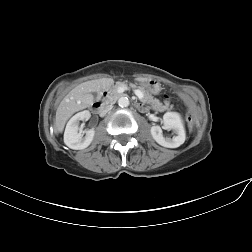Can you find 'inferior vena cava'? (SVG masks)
Returning a JSON list of instances; mask_svg holds the SVG:
<instances>
[{
  "mask_svg": "<svg viewBox=\"0 0 252 252\" xmlns=\"http://www.w3.org/2000/svg\"><path fill=\"white\" fill-rule=\"evenodd\" d=\"M112 105H107L105 107H103L101 110H100V115L101 116H104L106 115L111 109H112Z\"/></svg>",
  "mask_w": 252,
  "mask_h": 252,
  "instance_id": "inferior-vena-cava-1",
  "label": "inferior vena cava"
}]
</instances>
